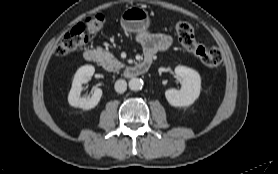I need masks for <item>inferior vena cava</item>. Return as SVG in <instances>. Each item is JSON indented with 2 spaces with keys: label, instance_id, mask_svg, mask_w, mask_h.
<instances>
[{
  "label": "inferior vena cava",
  "instance_id": "inferior-vena-cava-1",
  "mask_svg": "<svg viewBox=\"0 0 278 174\" xmlns=\"http://www.w3.org/2000/svg\"><path fill=\"white\" fill-rule=\"evenodd\" d=\"M127 89V83L123 79H119L115 82V91L118 93H124Z\"/></svg>",
  "mask_w": 278,
  "mask_h": 174
}]
</instances>
